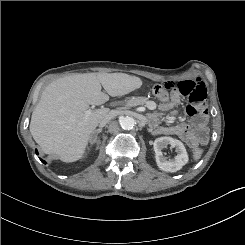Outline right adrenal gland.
Masks as SVG:
<instances>
[{
	"label": "right adrenal gland",
	"mask_w": 245,
	"mask_h": 245,
	"mask_svg": "<svg viewBox=\"0 0 245 245\" xmlns=\"http://www.w3.org/2000/svg\"><path fill=\"white\" fill-rule=\"evenodd\" d=\"M102 132V127H100V128H98V129H96L94 132H93V134H92V136H91V138H90V143L91 144H93V143H97V144H100L101 142H100V139H99V137H98V134L99 133H101Z\"/></svg>",
	"instance_id": "2a0ac1e0"
}]
</instances>
